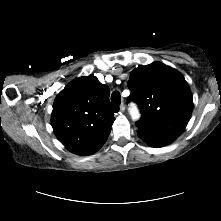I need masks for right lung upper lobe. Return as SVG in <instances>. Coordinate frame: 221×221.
Here are the masks:
<instances>
[{
	"label": "right lung upper lobe",
	"mask_w": 221,
	"mask_h": 221,
	"mask_svg": "<svg viewBox=\"0 0 221 221\" xmlns=\"http://www.w3.org/2000/svg\"><path fill=\"white\" fill-rule=\"evenodd\" d=\"M109 88L93 76L69 83L54 101L51 124L58 140L72 153L91 155L107 140L119 108Z\"/></svg>",
	"instance_id": "obj_1"
}]
</instances>
